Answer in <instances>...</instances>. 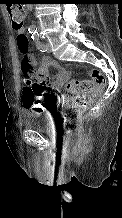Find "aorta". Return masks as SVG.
<instances>
[{
  "label": "aorta",
  "mask_w": 122,
  "mask_h": 218,
  "mask_svg": "<svg viewBox=\"0 0 122 218\" xmlns=\"http://www.w3.org/2000/svg\"><path fill=\"white\" fill-rule=\"evenodd\" d=\"M31 28H32V29H35V26H34V25H32V26H31Z\"/></svg>",
  "instance_id": "1"
}]
</instances>
